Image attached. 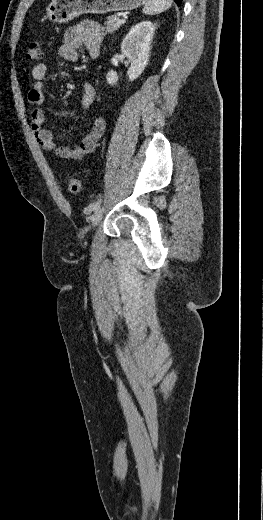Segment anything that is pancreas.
<instances>
[{
  "label": "pancreas",
  "instance_id": "pancreas-1",
  "mask_svg": "<svg viewBox=\"0 0 263 520\" xmlns=\"http://www.w3.org/2000/svg\"><path fill=\"white\" fill-rule=\"evenodd\" d=\"M120 18L118 16L112 15L107 18V21L105 22L106 31L109 33L114 32L118 28H120L121 24L118 23V20Z\"/></svg>",
  "mask_w": 263,
  "mask_h": 520
}]
</instances>
